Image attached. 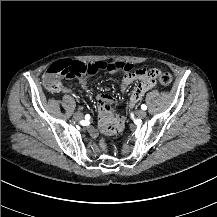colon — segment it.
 I'll return each instance as SVG.
<instances>
[{"instance_id": "5ec220e1", "label": "colon", "mask_w": 217, "mask_h": 217, "mask_svg": "<svg viewBox=\"0 0 217 217\" xmlns=\"http://www.w3.org/2000/svg\"><path fill=\"white\" fill-rule=\"evenodd\" d=\"M131 65L122 62H94V63H80L75 60H68L67 62H60L52 65L50 69L45 73V80L47 88L56 92L62 89L63 82L62 76L66 78H73L74 76H80L84 74H94L100 70H112V71H127L130 70ZM154 68H139L135 71V77L142 80L151 81L155 78ZM162 81L165 85H169L172 81L170 74L165 73L162 77ZM99 148L104 149L107 146L106 141L101 140L98 143Z\"/></svg>"}]
</instances>
